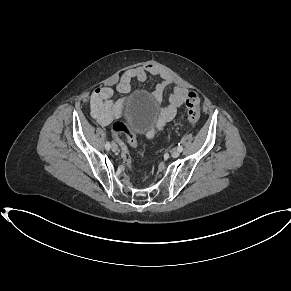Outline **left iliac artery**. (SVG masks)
<instances>
[{
	"label": "left iliac artery",
	"instance_id": "left-iliac-artery-1",
	"mask_svg": "<svg viewBox=\"0 0 291 291\" xmlns=\"http://www.w3.org/2000/svg\"><path fill=\"white\" fill-rule=\"evenodd\" d=\"M177 150H178L179 152H182V151H183V147L179 144Z\"/></svg>",
	"mask_w": 291,
	"mask_h": 291
}]
</instances>
